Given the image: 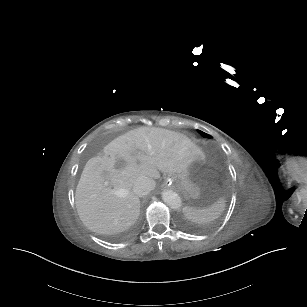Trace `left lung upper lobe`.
Here are the masks:
<instances>
[{"mask_svg":"<svg viewBox=\"0 0 307 307\" xmlns=\"http://www.w3.org/2000/svg\"><path fill=\"white\" fill-rule=\"evenodd\" d=\"M198 132H199L203 137H205V138H211L210 135H208V134H206V133H204V132H202V131H200V130H198Z\"/></svg>","mask_w":307,"mask_h":307,"instance_id":"5c2ea615","label":"left lung upper lobe"}]
</instances>
